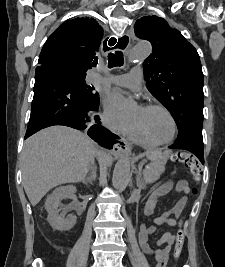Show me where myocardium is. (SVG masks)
<instances>
[{
    "label": "myocardium",
    "mask_w": 225,
    "mask_h": 267,
    "mask_svg": "<svg viewBox=\"0 0 225 267\" xmlns=\"http://www.w3.org/2000/svg\"><path fill=\"white\" fill-rule=\"evenodd\" d=\"M141 108H143L144 110H153V109H156V110H160L162 112H164L169 118L170 120L172 121V124H173V134L171 136L170 139L166 140V141H162V142H155V141H152L146 134L145 132L143 131V129L136 123L133 122V126L134 128L136 129V131L138 132V134L148 143L150 144L151 146H165V145H169L171 144L172 142H174V140L176 139L177 137V134H178V123L174 117V115L167 109L165 108L164 106L162 105H159V104H145V105H142Z\"/></svg>",
    "instance_id": "obj_1"
}]
</instances>
